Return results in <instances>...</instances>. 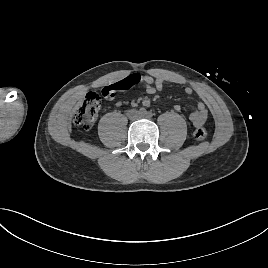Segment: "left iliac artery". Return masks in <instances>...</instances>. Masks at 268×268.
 Wrapping results in <instances>:
<instances>
[{
  "mask_svg": "<svg viewBox=\"0 0 268 268\" xmlns=\"http://www.w3.org/2000/svg\"><path fill=\"white\" fill-rule=\"evenodd\" d=\"M152 116H153V113H152V112H148V113H147V117H148V118H151Z\"/></svg>",
  "mask_w": 268,
  "mask_h": 268,
  "instance_id": "obj_1",
  "label": "left iliac artery"
}]
</instances>
